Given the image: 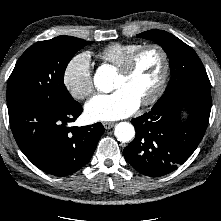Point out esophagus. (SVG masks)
<instances>
[{
  "label": "esophagus",
  "instance_id": "34e87169",
  "mask_svg": "<svg viewBox=\"0 0 221 221\" xmlns=\"http://www.w3.org/2000/svg\"><path fill=\"white\" fill-rule=\"evenodd\" d=\"M103 126L105 127V129L109 130L112 127H114V123L113 122H104Z\"/></svg>",
  "mask_w": 221,
  "mask_h": 221
}]
</instances>
